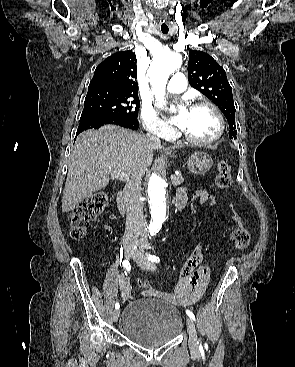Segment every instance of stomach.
Listing matches in <instances>:
<instances>
[{
	"instance_id": "obj_1",
	"label": "stomach",
	"mask_w": 295,
	"mask_h": 367,
	"mask_svg": "<svg viewBox=\"0 0 295 367\" xmlns=\"http://www.w3.org/2000/svg\"><path fill=\"white\" fill-rule=\"evenodd\" d=\"M212 158L205 152L193 153L187 161V167L191 173L204 174L211 169Z\"/></svg>"
}]
</instances>
